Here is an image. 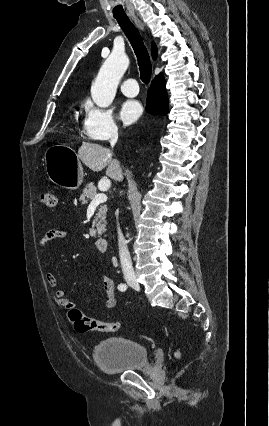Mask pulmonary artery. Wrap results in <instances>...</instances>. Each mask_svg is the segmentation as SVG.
I'll use <instances>...</instances> for the list:
<instances>
[{
    "instance_id": "1",
    "label": "pulmonary artery",
    "mask_w": 269,
    "mask_h": 426,
    "mask_svg": "<svg viewBox=\"0 0 269 426\" xmlns=\"http://www.w3.org/2000/svg\"><path fill=\"white\" fill-rule=\"evenodd\" d=\"M122 93L128 97H134L138 94L139 88L134 78L125 79L120 86Z\"/></svg>"
}]
</instances>
